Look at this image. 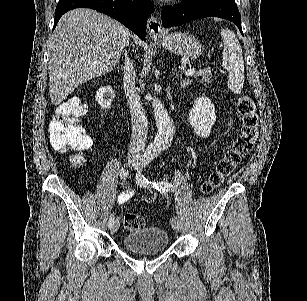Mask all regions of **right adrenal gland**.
<instances>
[{"label":"right adrenal gland","mask_w":307,"mask_h":301,"mask_svg":"<svg viewBox=\"0 0 307 301\" xmlns=\"http://www.w3.org/2000/svg\"><path fill=\"white\" fill-rule=\"evenodd\" d=\"M123 68H124V66H123V64H122V66H121V70H123Z\"/></svg>","instance_id":"right-adrenal-gland-1"}]
</instances>
